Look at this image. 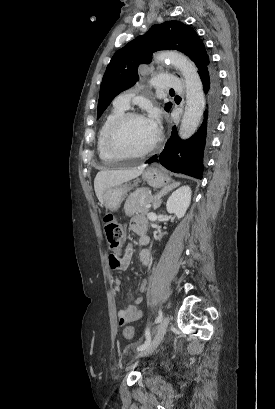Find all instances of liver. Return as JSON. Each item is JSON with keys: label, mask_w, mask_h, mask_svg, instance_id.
Returning a JSON list of instances; mask_svg holds the SVG:
<instances>
[{"label": "liver", "mask_w": 275, "mask_h": 409, "mask_svg": "<svg viewBox=\"0 0 275 409\" xmlns=\"http://www.w3.org/2000/svg\"><path fill=\"white\" fill-rule=\"evenodd\" d=\"M144 168V164H141V166L133 168V170H100V172H97L94 188L100 202H103V192L106 188H112V186L127 182L131 178H136V176L142 174Z\"/></svg>", "instance_id": "1"}]
</instances>
